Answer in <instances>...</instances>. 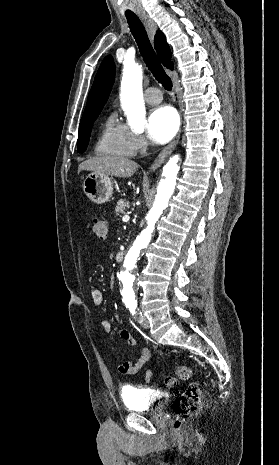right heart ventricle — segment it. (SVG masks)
Returning <instances> with one entry per match:
<instances>
[{"label":"right heart ventricle","instance_id":"e07e8e85","mask_svg":"<svg viewBox=\"0 0 279 465\" xmlns=\"http://www.w3.org/2000/svg\"><path fill=\"white\" fill-rule=\"evenodd\" d=\"M95 151L101 156L118 158H126L134 154L130 139V130L118 120L115 113H111L107 117Z\"/></svg>","mask_w":279,"mask_h":465}]
</instances>
